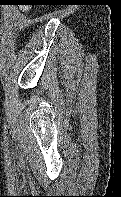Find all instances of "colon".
Segmentation results:
<instances>
[{"mask_svg":"<svg viewBox=\"0 0 121 197\" xmlns=\"http://www.w3.org/2000/svg\"><path fill=\"white\" fill-rule=\"evenodd\" d=\"M23 2H30L29 0H24ZM26 6L24 7H28L29 4H25Z\"/></svg>","mask_w":121,"mask_h":197,"instance_id":"obj_1","label":"colon"}]
</instances>
